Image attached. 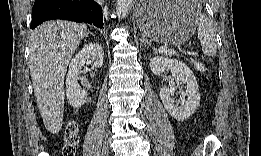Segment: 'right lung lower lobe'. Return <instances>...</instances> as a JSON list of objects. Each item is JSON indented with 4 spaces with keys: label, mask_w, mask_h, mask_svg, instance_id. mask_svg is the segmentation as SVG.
Wrapping results in <instances>:
<instances>
[{
    "label": "right lung lower lobe",
    "mask_w": 261,
    "mask_h": 156,
    "mask_svg": "<svg viewBox=\"0 0 261 156\" xmlns=\"http://www.w3.org/2000/svg\"><path fill=\"white\" fill-rule=\"evenodd\" d=\"M51 19L85 22L103 28L102 8L95 0H35L30 28Z\"/></svg>",
    "instance_id": "right-lung-lower-lobe-1"
}]
</instances>
